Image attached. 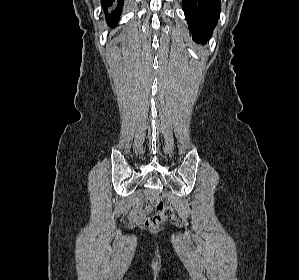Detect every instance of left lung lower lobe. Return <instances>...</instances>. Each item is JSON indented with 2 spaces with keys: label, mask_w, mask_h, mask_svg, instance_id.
<instances>
[{
  "label": "left lung lower lobe",
  "mask_w": 299,
  "mask_h": 280,
  "mask_svg": "<svg viewBox=\"0 0 299 280\" xmlns=\"http://www.w3.org/2000/svg\"><path fill=\"white\" fill-rule=\"evenodd\" d=\"M182 7L193 40L204 44L217 24L221 0H182Z\"/></svg>",
  "instance_id": "0a47b994"
}]
</instances>
